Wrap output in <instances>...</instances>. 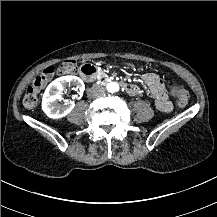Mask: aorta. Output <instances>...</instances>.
<instances>
[{
	"label": "aorta",
	"mask_w": 217,
	"mask_h": 217,
	"mask_svg": "<svg viewBox=\"0 0 217 217\" xmlns=\"http://www.w3.org/2000/svg\"><path fill=\"white\" fill-rule=\"evenodd\" d=\"M118 86V85H117ZM118 89H119V86H118V88H116V91H118Z\"/></svg>",
	"instance_id": "762f6f07"
}]
</instances>
